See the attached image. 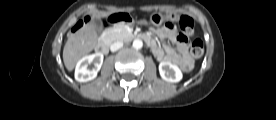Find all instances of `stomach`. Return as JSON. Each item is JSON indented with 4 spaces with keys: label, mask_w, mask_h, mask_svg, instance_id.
<instances>
[{
    "label": "stomach",
    "mask_w": 276,
    "mask_h": 120,
    "mask_svg": "<svg viewBox=\"0 0 276 120\" xmlns=\"http://www.w3.org/2000/svg\"><path fill=\"white\" fill-rule=\"evenodd\" d=\"M180 18V15L177 13L169 14V15H163L161 13H152L150 15L149 21L143 19L140 21V24L142 25H153L155 27H160L165 21H173L177 22Z\"/></svg>",
    "instance_id": "1"
}]
</instances>
